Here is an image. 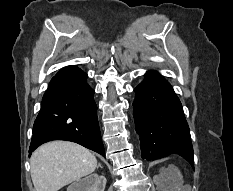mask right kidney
<instances>
[{
    "label": "right kidney",
    "instance_id": "ca27d5eb",
    "mask_svg": "<svg viewBox=\"0 0 233 191\" xmlns=\"http://www.w3.org/2000/svg\"><path fill=\"white\" fill-rule=\"evenodd\" d=\"M105 185L106 178L94 173L74 182L68 187L67 191H104Z\"/></svg>",
    "mask_w": 233,
    "mask_h": 191
}]
</instances>
